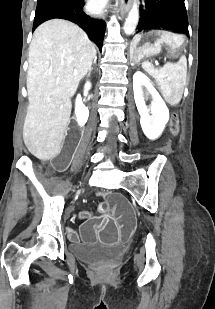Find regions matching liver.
<instances>
[{"label": "liver", "instance_id": "obj_1", "mask_svg": "<svg viewBox=\"0 0 215 309\" xmlns=\"http://www.w3.org/2000/svg\"><path fill=\"white\" fill-rule=\"evenodd\" d=\"M95 54V44L74 22L52 18L36 28L28 52L23 140L37 159L50 161L61 152L71 96Z\"/></svg>", "mask_w": 215, "mask_h": 309}]
</instances>
